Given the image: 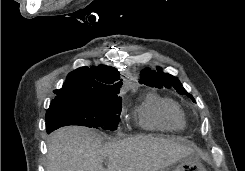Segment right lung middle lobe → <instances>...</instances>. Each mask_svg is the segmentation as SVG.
Returning <instances> with one entry per match:
<instances>
[{
	"instance_id": "1",
	"label": "right lung middle lobe",
	"mask_w": 245,
	"mask_h": 171,
	"mask_svg": "<svg viewBox=\"0 0 245 171\" xmlns=\"http://www.w3.org/2000/svg\"><path fill=\"white\" fill-rule=\"evenodd\" d=\"M122 98L111 96L94 100L51 102L46 112V130L50 133L66 125H81L115 130L120 120Z\"/></svg>"
}]
</instances>
